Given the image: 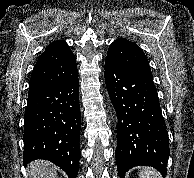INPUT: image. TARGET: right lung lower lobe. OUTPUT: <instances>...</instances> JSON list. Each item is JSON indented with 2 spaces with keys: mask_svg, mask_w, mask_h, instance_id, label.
<instances>
[{
  "mask_svg": "<svg viewBox=\"0 0 194 178\" xmlns=\"http://www.w3.org/2000/svg\"><path fill=\"white\" fill-rule=\"evenodd\" d=\"M78 71L64 81L29 89L24 114L23 164L49 160L76 178L80 158Z\"/></svg>",
  "mask_w": 194,
  "mask_h": 178,
  "instance_id": "98d812e1",
  "label": "right lung lower lobe"
}]
</instances>
